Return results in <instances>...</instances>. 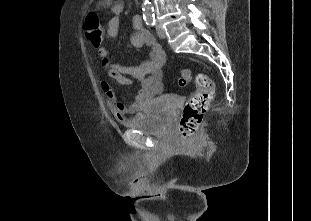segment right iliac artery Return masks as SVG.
Here are the masks:
<instances>
[{"label":"right iliac artery","mask_w":311,"mask_h":221,"mask_svg":"<svg viewBox=\"0 0 311 221\" xmlns=\"http://www.w3.org/2000/svg\"><path fill=\"white\" fill-rule=\"evenodd\" d=\"M154 23H155V20H147V21H146V24H147L148 26H153Z\"/></svg>","instance_id":"1"}]
</instances>
